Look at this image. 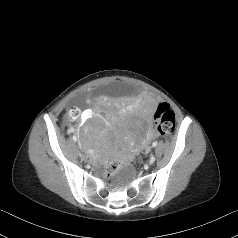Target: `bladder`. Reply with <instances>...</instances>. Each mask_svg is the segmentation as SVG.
Wrapping results in <instances>:
<instances>
[{"label": "bladder", "mask_w": 238, "mask_h": 238, "mask_svg": "<svg viewBox=\"0 0 238 238\" xmlns=\"http://www.w3.org/2000/svg\"><path fill=\"white\" fill-rule=\"evenodd\" d=\"M128 95L130 97H136L139 94V89L130 84H125L124 82L105 84L100 87H95L92 90V95L95 98H100L101 96H110V95ZM82 143V140L80 141Z\"/></svg>", "instance_id": "31cf9c89"}]
</instances>
